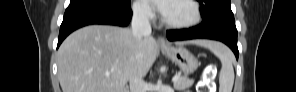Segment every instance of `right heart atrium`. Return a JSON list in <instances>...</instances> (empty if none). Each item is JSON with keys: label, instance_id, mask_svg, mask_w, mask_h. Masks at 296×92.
<instances>
[{"label": "right heart atrium", "instance_id": "1", "mask_svg": "<svg viewBox=\"0 0 296 92\" xmlns=\"http://www.w3.org/2000/svg\"><path fill=\"white\" fill-rule=\"evenodd\" d=\"M135 15L142 20H151L154 17L153 9L144 1H137L133 4Z\"/></svg>", "mask_w": 296, "mask_h": 92}]
</instances>
